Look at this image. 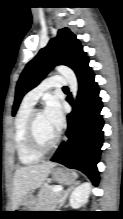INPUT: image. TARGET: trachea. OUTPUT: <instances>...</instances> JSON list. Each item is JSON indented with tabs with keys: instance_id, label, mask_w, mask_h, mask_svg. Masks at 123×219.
<instances>
[{
	"instance_id": "obj_1",
	"label": "trachea",
	"mask_w": 123,
	"mask_h": 219,
	"mask_svg": "<svg viewBox=\"0 0 123 219\" xmlns=\"http://www.w3.org/2000/svg\"><path fill=\"white\" fill-rule=\"evenodd\" d=\"M63 89H64V90H67V89H68V87H66V86H65V87H63Z\"/></svg>"
}]
</instances>
